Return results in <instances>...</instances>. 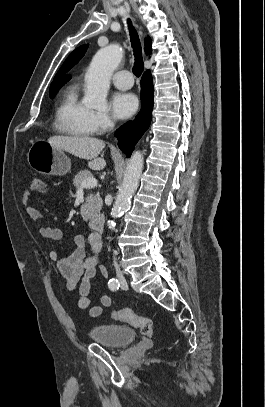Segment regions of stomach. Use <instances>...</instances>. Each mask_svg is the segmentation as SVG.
Masks as SVG:
<instances>
[{
	"label": "stomach",
	"mask_w": 265,
	"mask_h": 407,
	"mask_svg": "<svg viewBox=\"0 0 265 407\" xmlns=\"http://www.w3.org/2000/svg\"><path fill=\"white\" fill-rule=\"evenodd\" d=\"M29 165L44 175H65L71 167V161L63 150L46 141H37L27 155Z\"/></svg>",
	"instance_id": "0dacf381"
}]
</instances>
